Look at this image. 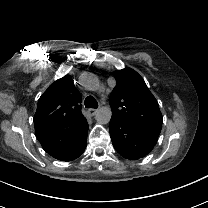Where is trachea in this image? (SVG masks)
Masks as SVG:
<instances>
[{
    "label": "trachea",
    "mask_w": 208,
    "mask_h": 208,
    "mask_svg": "<svg viewBox=\"0 0 208 208\" xmlns=\"http://www.w3.org/2000/svg\"><path fill=\"white\" fill-rule=\"evenodd\" d=\"M84 104H85L86 108H97L98 107V103H97L96 99L92 96L86 97Z\"/></svg>",
    "instance_id": "obj_1"
}]
</instances>
